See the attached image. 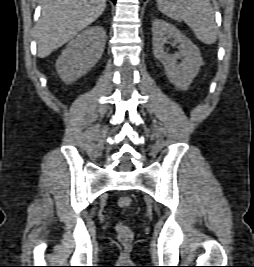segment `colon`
Instances as JSON below:
<instances>
[{
  "instance_id": "obj_1",
  "label": "colon",
  "mask_w": 254,
  "mask_h": 267,
  "mask_svg": "<svg viewBox=\"0 0 254 267\" xmlns=\"http://www.w3.org/2000/svg\"><path fill=\"white\" fill-rule=\"evenodd\" d=\"M117 204L122 209H128L132 205V199L129 196H121L119 197ZM116 231L118 239L121 243L129 244L133 241L134 233L128 225L124 223H118L116 226Z\"/></svg>"
}]
</instances>
